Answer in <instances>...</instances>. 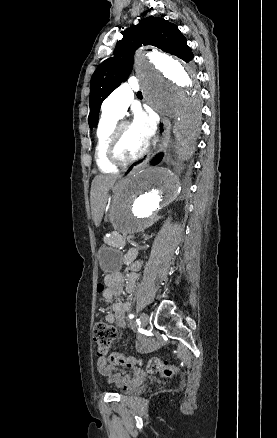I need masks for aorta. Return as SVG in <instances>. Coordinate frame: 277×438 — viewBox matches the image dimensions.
Wrapping results in <instances>:
<instances>
[{
	"instance_id": "1",
	"label": "aorta",
	"mask_w": 277,
	"mask_h": 438,
	"mask_svg": "<svg viewBox=\"0 0 277 438\" xmlns=\"http://www.w3.org/2000/svg\"><path fill=\"white\" fill-rule=\"evenodd\" d=\"M136 75L148 102L161 115L175 120L178 154L185 157L199 128V83L195 69L151 51L135 58ZM179 183L167 168H146L132 176L112 206L115 227L125 234L152 225L179 194Z\"/></svg>"
}]
</instances>
